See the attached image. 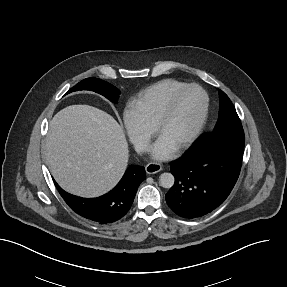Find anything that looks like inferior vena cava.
Returning <instances> with one entry per match:
<instances>
[{
  "mask_svg": "<svg viewBox=\"0 0 287 287\" xmlns=\"http://www.w3.org/2000/svg\"><path fill=\"white\" fill-rule=\"evenodd\" d=\"M135 150L140 153V152H145L147 150V146L146 145H137L135 147Z\"/></svg>",
  "mask_w": 287,
  "mask_h": 287,
  "instance_id": "602c4592",
  "label": "inferior vena cava"
}]
</instances>
